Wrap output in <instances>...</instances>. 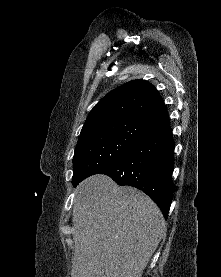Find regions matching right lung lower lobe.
<instances>
[{"instance_id":"right-lung-lower-lobe-1","label":"right lung lower lobe","mask_w":221,"mask_h":277,"mask_svg":"<svg viewBox=\"0 0 221 277\" xmlns=\"http://www.w3.org/2000/svg\"><path fill=\"white\" fill-rule=\"evenodd\" d=\"M139 124L142 137L122 159L99 173L110 176L119 185L142 190L167 218L173 197L175 144L165 106L144 115Z\"/></svg>"}]
</instances>
